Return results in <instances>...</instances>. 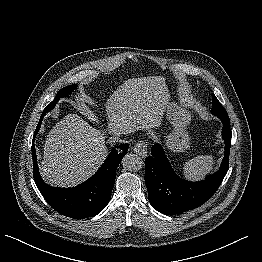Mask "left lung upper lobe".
<instances>
[{
	"label": "left lung upper lobe",
	"mask_w": 262,
	"mask_h": 262,
	"mask_svg": "<svg viewBox=\"0 0 262 262\" xmlns=\"http://www.w3.org/2000/svg\"><path fill=\"white\" fill-rule=\"evenodd\" d=\"M212 109H211V113L214 115H222V114H227L226 110L224 109V107L221 105V103L219 102V100L216 98V96L214 94H212Z\"/></svg>",
	"instance_id": "left-lung-upper-lobe-1"
}]
</instances>
